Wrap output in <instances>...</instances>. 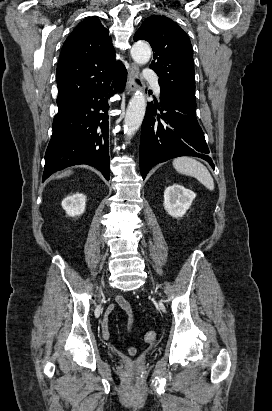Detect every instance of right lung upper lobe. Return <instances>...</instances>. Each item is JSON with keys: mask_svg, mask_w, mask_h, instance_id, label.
Masks as SVG:
<instances>
[{"mask_svg": "<svg viewBox=\"0 0 272 411\" xmlns=\"http://www.w3.org/2000/svg\"><path fill=\"white\" fill-rule=\"evenodd\" d=\"M108 33L94 16L79 23L66 39L56 70L58 106L109 83L123 68L115 60Z\"/></svg>", "mask_w": 272, "mask_h": 411, "instance_id": "obj_1", "label": "right lung upper lobe"}]
</instances>
